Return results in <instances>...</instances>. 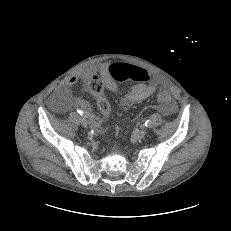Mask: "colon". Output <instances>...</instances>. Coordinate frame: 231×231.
<instances>
[{"instance_id":"obj_1","label":"colon","mask_w":231,"mask_h":231,"mask_svg":"<svg viewBox=\"0 0 231 231\" xmlns=\"http://www.w3.org/2000/svg\"><path fill=\"white\" fill-rule=\"evenodd\" d=\"M109 75L115 82H123L126 80H134V81H146L148 79V75L146 71L136 65L117 62L112 64L109 67ZM90 89L92 93H94L98 97V107L103 113L105 117L110 115V103L104 97V84L99 79H94L90 84ZM158 101L160 102H169L170 101V93L168 91H161L158 96Z\"/></svg>"}]
</instances>
